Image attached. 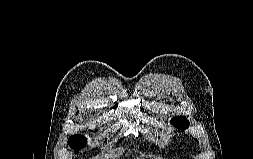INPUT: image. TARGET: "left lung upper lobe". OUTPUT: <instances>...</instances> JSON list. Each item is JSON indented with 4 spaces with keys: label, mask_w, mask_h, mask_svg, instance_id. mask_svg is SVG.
I'll use <instances>...</instances> for the list:
<instances>
[{
    "label": "left lung upper lobe",
    "mask_w": 253,
    "mask_h": 159,
    "mask_svg": "<svg viewBox=\"0 0 253 159\" xmlns=\"http://www.w3.org/2000/svg\"><path fill=\"white\" fill-rule=\"evenodd\" d=\"M171 123L180 129L181 128L186 129V128H188V126L190 124L189 121L187 120V118L184 116H181V117L176 116V117L172 118Z\"/></svg>",
    "instance_id": "5c2ea615"
}]
</instances>
